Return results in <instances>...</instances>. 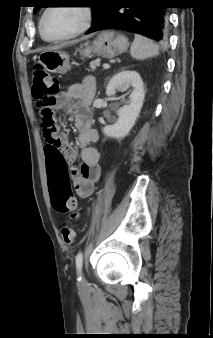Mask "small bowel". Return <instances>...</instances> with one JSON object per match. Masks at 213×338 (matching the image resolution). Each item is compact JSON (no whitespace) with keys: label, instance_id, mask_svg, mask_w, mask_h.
Segmentation results:
<instances>
[{"label":"small bowel","instance_id":"c3829d8e","mask_svg":"<svg viewBox=\"0 0 213 338\" xmlns=\"http://www.w3.org/2000/svg\"><path fill=\"white\" fill-rule=\"evenodd\" d=\"M95 95L93 77H86L81 83L72 84L67 90L55 96V108L71 109L82 106V112L75 118V126L79 131L78 143L82 165L80 169L74 164L78 150L72 146L57 129L52 136L57 143L46 144L45 156L48 172L49 189L67 181L69 175H79L75 180V191L78 197L87 198L94 192V184L101 176L100 153L89 145L98 140V132L92 127L91 115L87 106Z\"/></svg>","mask_w":213,"mask_h":338}]
</instances>
